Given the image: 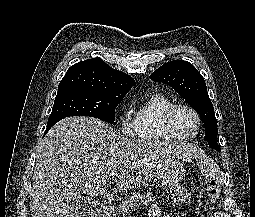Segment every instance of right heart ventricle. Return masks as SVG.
Listing matches in <instances>:
<instances>
[{
  "mask_svg": "<svg viewBox=\"0 0 255 217\" xmlns=\"http://www.w3.org/2000/svg\"><path fill=\"white\" fill-rule=\"evenodd\" d=\"M173 105L174 101L161 92L148 95L135 110L134 135L149 141L176 139L165 123V114Z\"/></svg>",
  "mask_w": 255,
  "mask_h": 217,
  "instance_id": "1",
  "label": "right heart ventricle"
}]
</instances>
